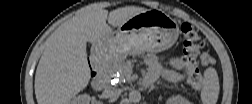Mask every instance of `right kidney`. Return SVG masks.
I'll use <instances>...</instances> for the list:
<instances>
[{"instance_id":"obj_1","label":"right kidney","mask_w":252,"mask_h":104,"mask_svg":"<svg viewBox=\"0 0 252 104\" xmlns=\"http://www.w3.org/2000/svg\"><path fill=\"white\" fill-rule=\"evenodd\" d=\"M91 97L88 94H81L71 100V104H89Z\"/></svg>"}]
</instances>
